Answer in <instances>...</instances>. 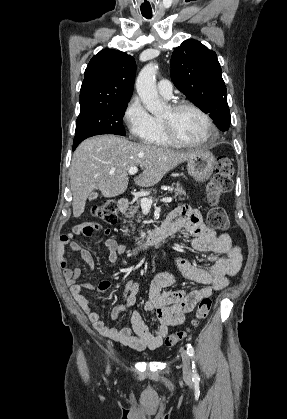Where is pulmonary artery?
Masks as SVG:
<instances>
[{"label":"pulmonary artery","instance_id":"pulmonary-artery-1","mask_svg":"<svg viewBox=\"0 0 287 419\" xmlns=\"http://www.w3.org/2000/svg\"><path fill=\"white\" fill-rule=\"evenodd\" d=\"M159 93L166 98H170L172 96V84L167 79H162L158 82L157 85Z\"/></svg>","mask_w":287,"mask_h":419}]
</instances>
